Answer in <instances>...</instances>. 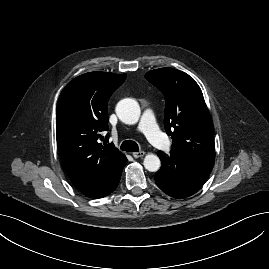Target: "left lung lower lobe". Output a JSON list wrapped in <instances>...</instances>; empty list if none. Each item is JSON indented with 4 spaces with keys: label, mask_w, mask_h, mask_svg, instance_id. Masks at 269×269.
Returning <instances> with one entry per match:
<instances>
[{
    "label": "left lung lower lobe",
    "mask_w": 269,
    "mask_h": 269,
    "mask_svg": "<svg viewBox=\"0 0 269 269\" xmlns=\"http://www.w3.org/2000/svg\"><path fill=\"white\" fill-rule=\"evenodd\" d=\"M157 154L162 166L155 174V182L163 192L174 198H185L196 193L214 166V160L180 151L172 150L169 155L158 151Z\"/></svg>",
    "instance_id": "obj_1"
}]
</instances>
